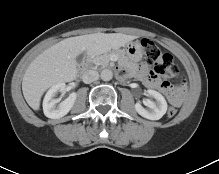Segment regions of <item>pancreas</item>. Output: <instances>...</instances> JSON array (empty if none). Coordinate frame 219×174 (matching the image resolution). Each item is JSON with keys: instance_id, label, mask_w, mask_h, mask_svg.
<instances>
[{"instance_id": "pancreas-1", "label": "pancreas", "mask_w": 219, "mask_h": 174, "mask_svg": "<svg viewBox=\"0 0 219 174\" xmlns=\"http://www.w3.org/2000/svg\"><path fill=\"white\" fill-rule=\"evenodd\" d=\"M115 54L118 57V62L122 65H126L128 64V59L127 57L121 53V52H106L102 55H97L96 57H94L91 62L93 64H95L96 66L101 65L102 67H106L109 65L110 62V56Z\"/></svg>"}]
</instances>
